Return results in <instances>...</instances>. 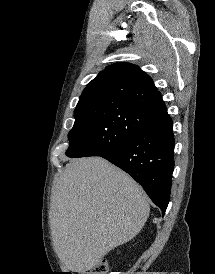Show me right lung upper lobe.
<instances>
[{
	"label": "right lung upper lobe",
	"mask_w": 215,
	"mask_h": 274,
	"mask_svg": "<svg viewBox=\"0 0 215 274\" xmlns=\"http://www.w3.org/2000/svg\"><path fill=\"white\" fill-rule=\"evenodd\" d=\"M120 101L157 116L167 111L152 79L139 67L117 63L106 67L84 89L78 103Z\"/></svg>",
	"instance_id": "obj_1"
}]
</instances>
